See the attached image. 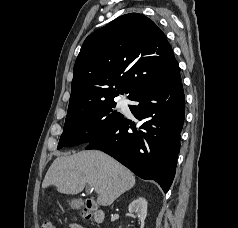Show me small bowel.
I'll return each mask as SVG.
<instances>
[{
	"label": "small bowel",
	"mask_w": 238,
	"mask_h": 228,
	"mask_svg": "<svg viewBox=\"0 0 238 228\" xmlns=\"http://www.w3.org/2000/svg\"><path fill=\"white\" fill-rule=\"evenodd\" d=\"M70 228H86V227L78 223H73L71 224Z\"/></svg>",
	"instance_id": "c3829d8e"
}]
</instances>
